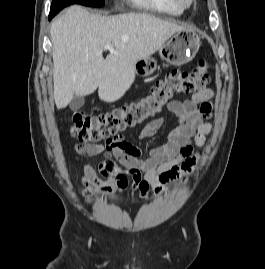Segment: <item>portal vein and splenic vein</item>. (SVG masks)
Listing matches in <instances>:
<instances>
[{"mask_svg":"<svg viewBox=\"0 0 265 269\" xmlns=\"http://www.w3.org/2000/svg\"><path fill=\"white\" fill-rule=\"evenodd\" d=\"M104 49L109 50L110 53H115V50L111 44H106Z\"/></svg>","mask_w":265,"mask_h":269,"instance_id":"1","label":"portal vein and splenic vein"}]
</instances>
